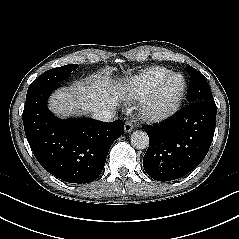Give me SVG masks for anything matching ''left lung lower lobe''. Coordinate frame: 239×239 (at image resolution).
<instances>
[{
  "label": "left lung lower lobe",
  "mask_w": 239,
  "mask_h": 239,
  "mask_svg": "<svg viewBox=\"0 0 239 239\" xmlns=\"http://www.w3.org/2000/svg\"><path fill=\"white\" fill-rule=\"evenodd\" d=\"M216 111L214 100H200L163 124L144 126L149 137L143 158L147 174L157 181H170L197 167L212 143Z\"/></svg>",
  "instance_id": "1"
}]
</instances>
